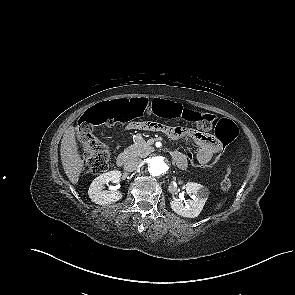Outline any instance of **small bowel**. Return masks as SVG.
<instances>
[{
  "label": "small bowel",
  "mask_w": 295,
  "mask_h": 295,
  "mask_svg": "<svg viewBox=\"0 0 295 295\" xmlns=\"http://www.w3.org/2000/svg\"><path fill=\"white\" fill-rule=\"evenodd\" d=\"M156 123L151 122H132L127 126V129L131 130H149V131H161L167 134L172 139H183L194 142L198 146V150L195 154L197 162L207 163L213 159L217 152L221 151V142L213 135L208 133L199 132L187 128H170L165 127V130H160ZM179 157L176 165L179 168H185L188 164V159L185 153L175 151Z\"/></svg>",
  "instance_id": "obj_1"
}]
</instances>
